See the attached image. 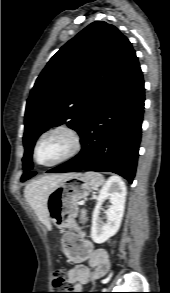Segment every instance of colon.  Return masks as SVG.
I'll list each match as a JSON object with an SVG mask.
<instances>
[{
  "label": "colon",
  "instance_id": "5ec220e1",
  "mask_svg": "<svg viewBox=\"0 0 170 293\" xmlns=\"http://www.w3.org/2000/svg\"><path fill=\"white\" fill-rule=\"evenodd\" d=\"M52 284L56 290L60 291L54 293H69L67 291H71L65 282L63 271H58L56 274H54Z\"/></svg>",
  "mask_w": 170,
  "mask_h": 293
}]
</instances>
